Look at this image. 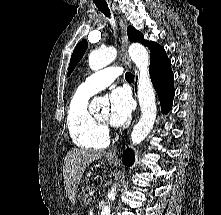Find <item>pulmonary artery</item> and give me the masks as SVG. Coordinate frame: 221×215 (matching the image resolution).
Segmentation results:
<instances>
[{
  "mask_svg": "<svg viewBox=\"0 0 221 215\" xmlns=\"http://www.w3.org/2000/svg\"><path fill=\"white\" fill-rule=\"evenodd\" d=\"M123 74V69L118 66L104 68L86 78L80 84L79 90L88 94H94L110 85L117 77Z\"/></svg>",
  "mask_w": 221,
  "mask_h": 215,
  "instance_id": "obj_1",
  "label": "pulmonary artery"
}]
</instances>
